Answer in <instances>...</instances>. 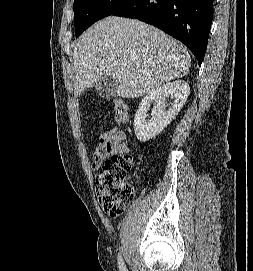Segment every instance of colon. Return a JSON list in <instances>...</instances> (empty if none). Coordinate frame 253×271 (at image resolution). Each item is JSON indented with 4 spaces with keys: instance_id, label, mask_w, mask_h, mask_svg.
Here are the masks:
<instances>
[{
    "instance_id": "5ec220e1",
    "label": "colon",
    "mask_w": 253,
    "mask_h": 271,
    "mask_svg": "<svg viewBox=\"0 0 253 271\" xmlns=\"http://www.w3.org/2000/svg\"><path fill=\"white\" fill-rule=\"evenodd\" d=\"M114 119L119 124L129 121V110L119 98L113 102ZM132 166L128 154H114L101 161L95 178L99 202L111 217L120 215L134 197V186L127 181Z\"/></svg>"
}]
</instances>
